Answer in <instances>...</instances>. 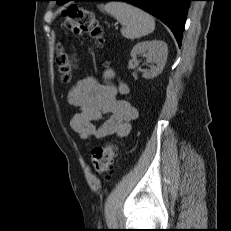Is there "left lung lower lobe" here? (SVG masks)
I'll return each instance as SVG.
<instances>
[{
    "mask_svg": "<svg viewBox=\"0 0 231 231\" xmlns=\"http://www.w3.org/2000/svg\"><path fill=\"white\" fill-rule=\"evenodd\" d=\"M71 0H63L64 4ZM84 1H125L131 3L165 23L173 32L178 45H181L182 33L186 21L189 3L192 0H84Z\"/></svg>",
    "mask_w": 231,
    "mask_h": 231,
    "instance_id": "left-lung-lower-lobe-1",
    "label": "left lung lower lobe"
}]
</instances>
